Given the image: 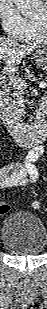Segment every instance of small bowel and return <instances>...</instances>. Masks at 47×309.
I'll return each mask as SVG.
<instances>
[{"instance_id": "c3829d8e", "label": "small bowel", "mask_w": 47, "mask_h": 309, "mask_svg": "<svg viewBox=\"0 0 47 309\" xmlns=\"http://www.w3.org/2000/svg\"><path fill=\"white\" fill-rule=\"evenodd\" d=\"M42 153L43 147L41 145L35 146L26 155L24 161L17 167L12 168L10 166H5L0 177V187H18L23 186L28 182H35L38 179H44V173L34 164Z\"/></svg>"}]
</instances>
